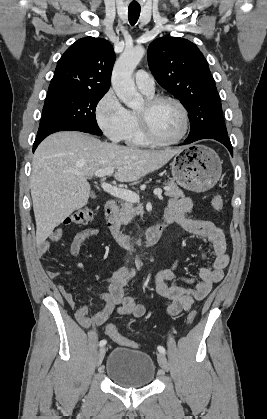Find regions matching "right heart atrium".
<instances>
[{
  "label": "right heart atrium",
  "instance_id": "right-heart-atrium-1",
  "mask_svg": "<svg viewBox=\"0 0 267 419\" xmlns=\"http://www.w3.org/2000/svg\"><path fill=\"white\" fill-rule=\"evenodd\" d=\"M95 119L110 140H124L129 129V111L112 90L107 91L96 104Z\"/></svg>",
  "mask_w": 267,
  "mask_h": 419
}]
</instances>
